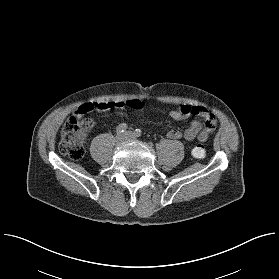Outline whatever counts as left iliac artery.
I'll use <instances>...</instances> for the list:
<instances>
[{
	"instance_id": "1",
	"label": "left iliac artery",
	"mask_w": 279,
	"mask_h": 279,
	"mask_svg": "<svg viewBox=\"0 0 279 279\" xmlns=\"http://www.w3.org/2000/svg\"><path fill=\"white\" fill-rule=\"evenodd\" d=\"M134 134L136 137H140L142 135V131L140 129H136Z\"/></svg>"
}]
</instances>
